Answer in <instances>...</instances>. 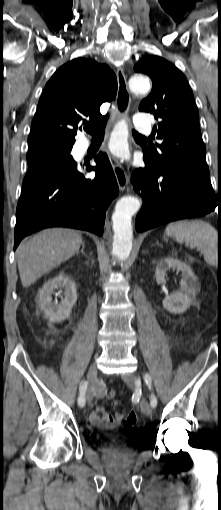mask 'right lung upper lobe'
<instances>
[{
  "label": "right lung upper lobe",
  "mask_w": 221,
  "mask_h": 510,
  "mask_svg": "<svg viewBox=\"0 0 221 510\" xmlns=\"http://www.w3.org/2000/svg\"><path fill=\"white\" fill-rule=\"evenodd\" d=\"M117 80L106 64L76 58L47 82L32 120L29 151L43 147L72 148L76 129L96 124L100 106L115 98Z\"/></svg>",
  "instance_id": "1"
}]
</instances>
